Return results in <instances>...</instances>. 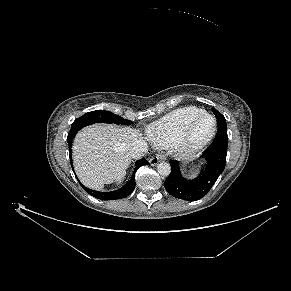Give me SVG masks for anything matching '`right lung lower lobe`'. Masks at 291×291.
<instances>
[{"label": "right lung lower lobe", "instance_id": "obj_1", "mask_svg": "<svg viewBox=\"0 0 291 291\" xmlns=\"http://www.w3.org/2000/svg\"><path fill=\"white\" fill-rule=\"evenodd\" d=\"M80 128H82L81 125L72 124L71 130H70V132L68 133V136H67V142H68V145H69V156H70L71 165H72V155H71L72 141H73V138H74L76 132ZM143 165H149V162L146 159H140L137 162V165H136V167L134 169V172L132 174L131 179L128 181V183L123 188H121L119 190H116V191L99 192V191H95V190L89 189L87 187H84L81 183H80V185L85 189V191L88 194L92 195L93 197H95L97 199L115 200V199L125 198V197H127L128 195H130L134 191V189H135V173H136V170L139 167L143 166Z\"/></svg>", "mask_w": 291, "mask_h": 291}]
</instances>
